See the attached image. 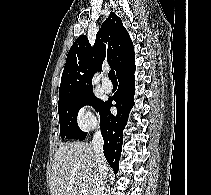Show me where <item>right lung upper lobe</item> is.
<instances>
[{"label": "right lung upper lobe", "instance_id": "cb5924a9", "mask_svg": "<svg viewBox=\"0 0 211 195\" xmlns=\"http://www.w3.org/2000/svg\"><path fill=\"white\" fill-rule=\"evenodd\" d=\"M105 59L116 70L117 76L135 64L132 41L121 19L113 12L98 31L93 47L88 38L81 35L70 48L62 73L58 104L92 93L93 75L102 70Z\"/></svg>", "mask_w": 211, "mask_h": 195}]
</instances>
